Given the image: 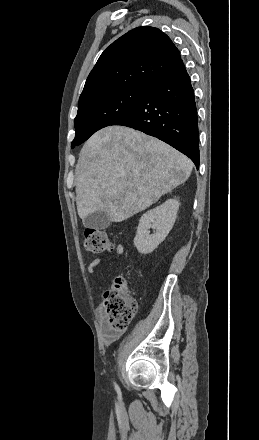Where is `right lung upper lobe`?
I'll return each mask as SVG.
<instances>
[{"instance_id":"right-lung-upper-lobe-1","label":"right lung upper lobe","mask_w":259,"mask_h":440,"mask_svg":"<svg viewBox=\"0 0 259 440\" xmlns=\"http://www.w3.org/2000/svg\"><path fill=\"white\" fill-rule=\"evenodd\" d=\"M181 60L171 39L154 27H137L113 42L90 72L79 106L110 92L149 87Z\"/></svg>"}]
</instances>
